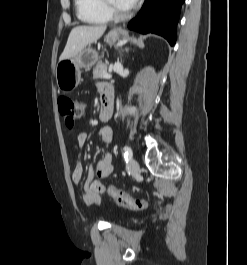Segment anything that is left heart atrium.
I'll use <instances>...</instances> for the list:
<instances>
[{"instance_id":"left-heart-atrium-1","label":"left heart atrium","mask_w":247,"mask_h":265,"mask_svg":"<svg viewBox=\"0 0 247 265\" xmlns=\"http://www.w3.org/2000/svg\"><path fill=\"white\" fill-rule=\"evenodd\" d=\"M126 9L132 8L138 0H117Z\"/></svg>"}]
</instances>
